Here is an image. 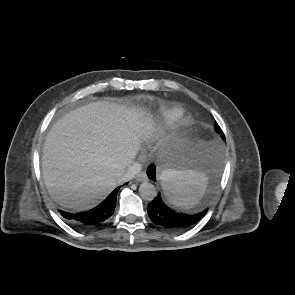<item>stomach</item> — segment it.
<instances>
[{"label": "stomach", "instance_id": "stomach-1", "mask_svg": "<svg viewBox=\"0 0 295 295\" xmlns=\"http://www.w3.org/2000/svg\"><path fill=\"white\" fill-rule=\"evenodd\" d=\"M206 152L207 148L202 142H189L165 163L164 169L178 172L194 171L205 174L208 167Z\"/></svg>", "mask_w": 295, "mask_h": 295}]
</instances>
